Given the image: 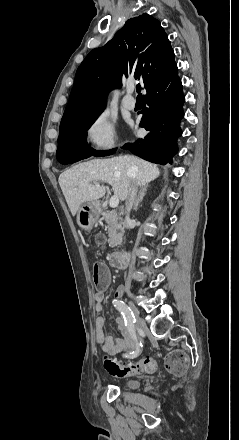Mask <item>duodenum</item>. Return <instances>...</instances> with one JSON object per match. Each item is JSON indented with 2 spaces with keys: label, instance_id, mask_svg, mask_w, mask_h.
Returning a JSON list of instances; mask_svg holds the SVG:
<instances>
[{
  "label": "duodenum",
  "instance_id": "410a0bca",
  "mask_svg": "<svg viewBox=\"0 0 239 440\" xmlns=\"http://www.w3.org/2000/svg\"><path fill=\"white\" fill-rule=\"evenodd\" d=\"M128 262V254L115 251L109 255V263L112 267L123 268Z\"/></svg>",
  "mask_w": 239,
  "mask_h": 440
}]
</instances>
